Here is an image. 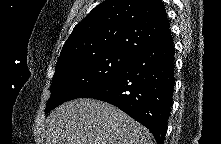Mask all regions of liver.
I'll return each instance as SVG.
<instances>
[{"mask_svg": "<svg viewBox=\"0 0 221 144\" xmlns=\"http://www.w3.org/2000/svg\"><path fill=\"white\" fill-rule=\"evenodd\" d=\"M48 120L46 144H153L146 127L99 100L64 103Z\"/></svg>", "mask_w": 221, "mask_h": 144, "instance_id": "obj_1", "label": "liver"}]
</instances>
